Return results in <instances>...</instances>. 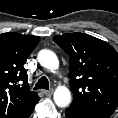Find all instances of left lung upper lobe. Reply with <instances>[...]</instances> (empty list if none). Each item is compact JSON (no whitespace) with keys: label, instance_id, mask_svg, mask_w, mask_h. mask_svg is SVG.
Returning a JSON list of instances; mask_svg holds the SVG:
<instances>
[{"label":"left lung upper lobe","instance_id":"left-lung-upper-lobe-1","mask_svg":"<svg viewBox=\"0 0 118 118\" xmlns=\"http://www.w3.org/2000/svg\"><path fill=\"white\" fill-rule=\"evenodd\" d=\"M54 41L70 56L73 91L70 107L112 115L118 106V53L107 42L84 33L63 34Z\"/></svg>","mask_w":118,"mask_h":118}]
</instances>
